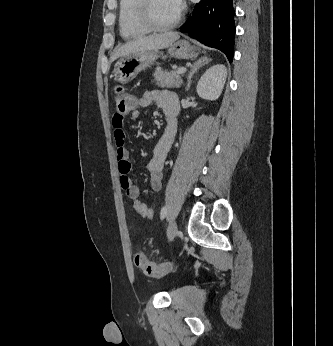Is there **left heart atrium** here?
<instances>
[{
    "label": "left heart atrium",
    "instance_id": "39dd6f15",
    "mask_svg": "<svg viewBox=\"0 0 333 346\" xmlns=\"http://www.w3.org/2000/svg\"><path fill=\"white\" fill-rule=\"evenodd\" d=\"M181 1L182 0H172L173 4L176 6V8L179 10L181 7Z\"/></svg>",
    "mask_w": 333,
    "mask_h": 346
}]
</instances>
